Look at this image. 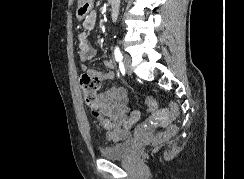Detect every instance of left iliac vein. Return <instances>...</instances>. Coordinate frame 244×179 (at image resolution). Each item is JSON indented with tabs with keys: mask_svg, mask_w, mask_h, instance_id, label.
Listing matches in <instances>:
<instances>
[{
	"mask_svg": "<svg viewBox=\"0 0 244 179\" xmlns=\"http://www.w3.org/2000/svg\"><path fill=\"white\" fill-rule=\"evenodd\" d=\"M123 64H124V68H125L126 72L128 74H131L132 66H131V58L129 56H127V55L124 56Z\"/></svg>",
	"mask_w": 244,
	"mask_h": 179,
	"instance_id": "obj_1",
	"label": "left iliac vein"
}]
</instances>
